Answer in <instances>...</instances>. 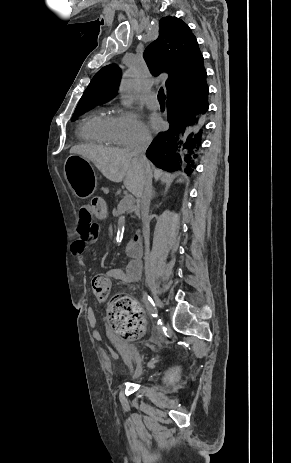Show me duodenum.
Masks as SVG:
<instances>
[{
    "mask_svg": "<svg viewBox=\"0 0 291 463\" xmlns=\"http://www.w3.org/2000/svg\"><path fill=\"white\" fill-rule=\"evenodd\" d=\"M127 253L133 259H139L142 255V238L140 235H135L126 245Z\"/></svg>",
    "mask_w": 291,
    "mask_h": 463,
    "instance_id": "410a0bca",
    "label": "duodenum"
}]
</instances>
